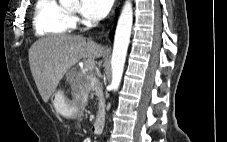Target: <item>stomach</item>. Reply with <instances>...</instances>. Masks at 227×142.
<instances>
[{"instance_id":"1","label":"stomach","mask_w":227,"mask_h":142,"mask_svg":"<svg viewBox=\"0 0 227 142\" xmlns=\"http://www.w3.org/2000/svg\"><path fill=\"white\" fill-rule=\"evenodd\" d=\"M51 102L57 112L66 117H74L78 112V108L70 104L61 91H57L51 95Z\"/></svg>"}]
</instances>
